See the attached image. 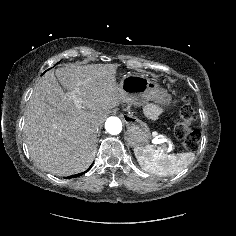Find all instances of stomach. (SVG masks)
<instances>
[{
  "mask_svg": "<svg viewBox=\"0 0 236 236\" xmlns=\"http://www.w3.org/2000/svg\"><path fill=\"white\" fill-rule=\"evenodd\" d=\"M118 88L126 95V102L136 106H143L149 101L164 105L166 108L171 105V98L167 92L142 75L126 74L118 84ZM126 121L129 143L135 148L147 145L150 134L146 124L133 116L126 117Z\"/></svg>",
  "mask_w": 236,
  "mask_h": 236,
  "instance_id": "stomach-1",
  "label": "stomach"
}]
</instances>
